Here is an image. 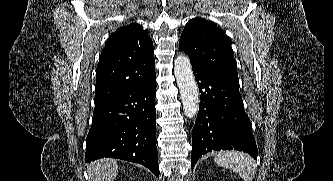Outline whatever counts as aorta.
Listing matches in <instances>:
<instances>
[{"label":"aorta","mask_w":333,"mask_h":181,"mask_svg":"<svg viewBox=\"0 0 333 181\" xmlns=\"http://www.w3.org/2000/svg\"><path fill=\"white\" fill-rule=\"evenodd\" d=\"M174 74L180 91L185 116L193 118L199 111L198 87L188 56L181 54L174 61Z\"/></svg>","instance_id":"1"}]
</instances>
